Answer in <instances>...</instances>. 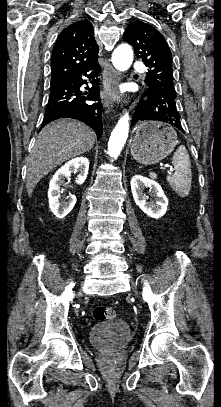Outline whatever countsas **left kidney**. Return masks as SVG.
<instances>
[{
  "label": "left kidney",
  "mask_w": 221,
  "mask_h": 407,
  "mask_svg": "<svg viewBox=\"0 0 221 407\" xmlns=\"http://www.w3.org/2000/svg\"><path fill=\"white\" fill-rule=\"evenodd\" d=\"M131 191L139 208L151 218H161L167 211L168 199L161 186L154 180L135 175L131 179ZM144 188H149L157 197L156 202H147L143 194Z\"/></svg>",
  "instance_id": "5707ae66"
}]
</instances>
